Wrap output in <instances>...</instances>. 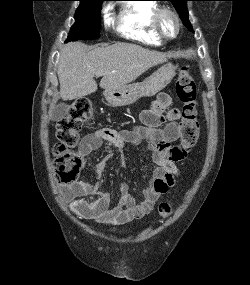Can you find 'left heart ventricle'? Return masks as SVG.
Instances as JSON below:
<instances>
[{
	"label": "left heart ventricle",
	"instance_id": "b2bd125f",
	"mask_svg": "<svg viewBox=\"0 0 250 285\" xmlns=\"http://www.w3.org/2000/svg\"><path fill=\"white\" fill-rule=\"evenodd\" d=\"M161 26L163 32L168 36H172L176 31V23L174 19L168 15L163 17Z\"/></svg>",
	"mask_w": 250,
	"mask_h": 285
}]
</instances>
